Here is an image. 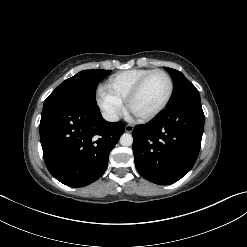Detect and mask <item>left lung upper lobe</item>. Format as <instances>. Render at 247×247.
<instances>
[{"label": "left lung upper lobe", "instance_id": "obj_1", "mask_svg": "<svg viewBox=\"0 0 247 247\" xmlns=\"http://www.w3.org/2000/svg\"><path fill=\"white\" fill-rule=\"evenodd\" d=\"M164 69L169 72L174 82V94L168 106L188 100H200L196 87L181 72L168 67Z\"/></svg>", "mask_w": 247, "mask_h": 247}]
</instances>
